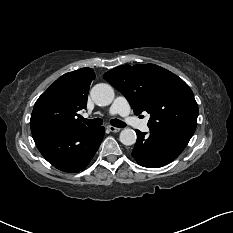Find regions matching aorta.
Instances as JSON below:
<instances>
[{"label": "aorta", "mask_w": 233, "mask_h": 233, "mask_svg": "<svg viewBox=\"0 0 233 233\" xmlns=\"http://www.w3.org/2000/svg\"><path fill=\"white\" fill-rule=\"evenodd\" d=\"M91 97L98 106H107L112 103L114 99L113 88L105 83L95 85L91 89ZM120 141L126 146L135 144L137 136L133 129L125 128L120 132Z\"/></svg>", "instance_id": "762f6f07"}]
</instances>
